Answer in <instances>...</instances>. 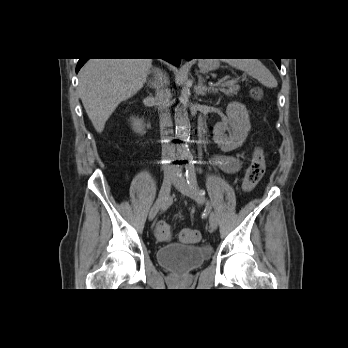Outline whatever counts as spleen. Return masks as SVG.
<instances>
[{
  "label": "spleen",
  "mask_w": 348,
  "mask_h": 348,
  "mask_svg": "<svg viewBox=\"0 0 348 348\" xmlns=\"http://www.w3.org/2000/svg\"><path fill=\"white\" fill-rule=\"evenodd\" d=\"M226 62L257 79L265 87L275 88L278 85L272 73L258 59H228Z\"/></svg>",
  "instance_id": "3e777b00"
}]
</instances>
